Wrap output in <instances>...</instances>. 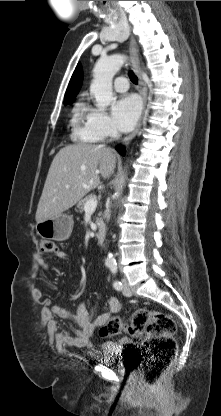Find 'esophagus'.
Segmentation results:
<instances>
[{
    "label": "esophagus",
    "instance_id": "obj_1",
    "mask_svg": "<svg viewBox=\"0 0 221 416\" xmlns=\"http://www.w3.org/2000/svg\"><path fill=\"white\" fill-rule=\"evenodd\" d=\"M129 50H130L132 68H133L135 74L138 77L141 95H142V98H143V101H144V105L146 107V104H147V88H146V86L143 82V79H142V75H141V71H140V67H139V51H138V46H137V43H136V40L134 39V37L130 38ZM146 111H147V109L145 108L144 112H143L142 119L139 121L135 130L123 139V142H122L123 145H127L137 135V133L139 132V130L142 126V122H143V119L146 115Z\"/></svg>",
    "mask_w": 221,
    "mask_h": 416
}]
</instances>
